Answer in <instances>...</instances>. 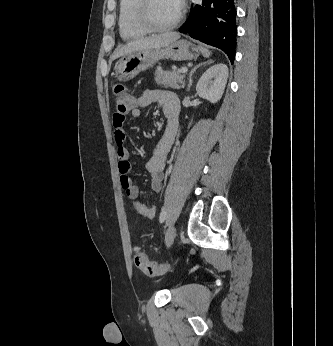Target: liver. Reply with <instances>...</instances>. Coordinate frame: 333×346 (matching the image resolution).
I'll return each mask as SVG.
<instances>
[{
    "label": "liver",
    "mask_w": 333,
    "mask_h": 346,
    "mask_svg": "<svg viewBox=\"0 0 333 346\" xmlns=\"http://www.w3.org/2000/svg\"><path fill=\"white\" fill-rule=\"evenodd\" d=\"M179 38L180 35L178 33L169 32L138 39L116 49L113 58L116 59L120 56H124L137 51L166 47Z\"/></svg>",
    "instance_id": "obj_1"
}]
</instances>
